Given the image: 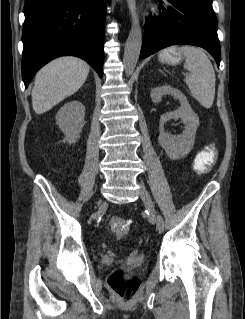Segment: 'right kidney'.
<instances>
[{
  "instance_id": "obj_1",
  "label": "right kidney",
  "mask_w": 245,
  "mask_h": 319,
  "mask_svg": "<svg viewBox=\"0 0 245 319\" xmlns=\"http://www.w3.org/2000/svg\"><path fill=\"white\" fill-rule=\"evenodd\" d=\"M85 106L76 100L70 101L60 108L56 115V124L65 134V142L76 143L85 124Z\"/></svg>"
}]
</instances>
